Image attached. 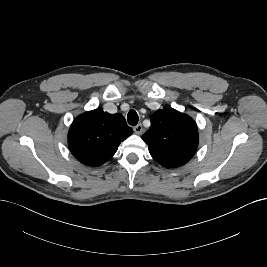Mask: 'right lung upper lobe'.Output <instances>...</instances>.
Returning <instances> with one entry per match:
<instances>
[{
    "label": "right lung upper lobe",
    "mask_w": 267,
    "mask_h": 267,
    "mask_svg": "<svg viewBox=\"0 0 267 267\" xmlns=\"http://www.w3.org/2000/svg\"><path fill=\"white\" fill-rule=\"evenodd\" d=\"M132 133L120 113L109 114L95 109L74 119L68 133V145L78 161L96 167L108 161Z\"/></svg>",
    "instance_id": "cb5924a9"
}]
</instances>
